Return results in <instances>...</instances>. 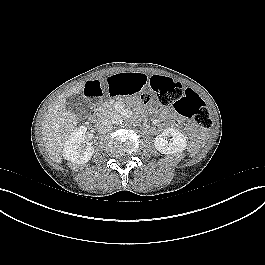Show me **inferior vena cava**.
I'll list each match as a JSON object with an SVG mask.
<instances>
[{
    "mask_svg": "<svg viewBox=\"0 0 265 265\" xmlns=\"http://www.w3.org/2000/svg\"><path fill=\"white\" fill-rule=\"evenodd\" d=\"M112 129V122L108 118H101L97 122V130L99 133L104 134Z\"/></svg>",
    "mask_w": 265,
    "mask_h": 265,
    "instance_id": "inferior-vena-cava-1",
    "label": "inferior vena cava"
}]
</instances>
